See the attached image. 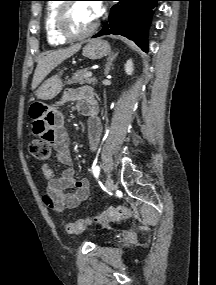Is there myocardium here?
<instances>
[{"label":"myocardium","mask_w":216,"mask_h":285,"mask_svg":"<svg viewBox=\"0 0 216 285\" xmlns=\"http://www.w3.org/2000/svg\"><path fill=\"white\" fill-rule=\"evenodd\" d=\"M76 2H64L61 4L57 17H56V29L58 34L66 40H81L91 36L99 26V20L97 19L91 28L88 30L76 33L70 26V13L73 5Z\"/></svg>","instance_id":"1"}]
</instances>
